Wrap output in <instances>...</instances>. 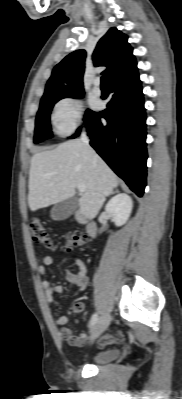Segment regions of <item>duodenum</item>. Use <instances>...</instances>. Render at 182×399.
<instances>
[{"instance_id":"obj_1","label":"duodenum","mask_w":182,"mask_h":399,"mask_svg":"<svg viewBox=\"0 0 182 399\" xmlns=\"http://www.w3.org/2000/svg\"><path fill=\"white\" fill-rule=\"evenodd\" d=\"M80 217L82 219H85V216L83 213H80ZM86 231L87 234L91 237L94 238L97 234V226L94 222L91 221H86Z\"/></svg>"}]
</instances>
